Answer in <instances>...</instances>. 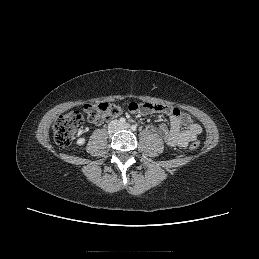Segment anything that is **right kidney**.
<instances>
[{"mask_svg": "<svg viewBox=\"0 0 259 259\" xmlns=\"http://www.w3.org/2000/svg\"><path fill=\"white\" fill-rule=\"evenodd\" d=\"M85 143V138H79L78 140H77V144L78 145H83Z\"/></svg>", "mask_w": 259, "mask_h": 259, "instance_id": "right-kidney-1", "label": "right kidney"}]
</instances>
